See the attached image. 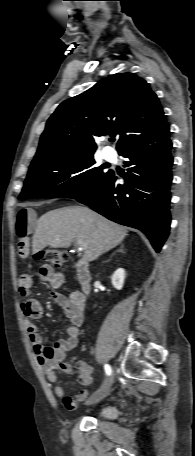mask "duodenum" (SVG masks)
<instances>
[{
	"label": "duodenum",
	"instance_id": "1",
	"mask_svg": "<svg viewBox=\"0 0 195 456\" xmlns=\"http://www.w3.org/2000/svg\"><path fill=\"white\" fill-rule=\"evenodd\" d=\"M75 273H76V279H77L78 283L80 284L82 294L84 296L88 295L91 290L92 277H91V273L89 270V264L85 259L80 258L78 260V262L76 263V267H75Z\"/></svg>",
	"mask_w": 195,
	"mask_h": 456
}]
</instances>
